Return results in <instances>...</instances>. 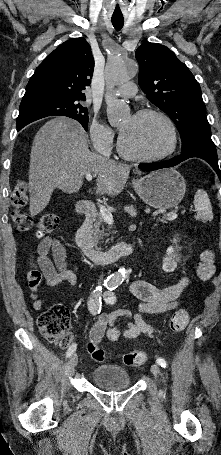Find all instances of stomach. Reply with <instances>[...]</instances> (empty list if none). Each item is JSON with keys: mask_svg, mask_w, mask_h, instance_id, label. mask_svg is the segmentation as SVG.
<instances>
[{"mask_svg": "<svg viewBox=\"0 0 221 455\" xmlns=\"http://www.w3.org/2000/svg\"><path fill=\"white\" fill-rule=\"evenodd\" d=\"M139 197L149 206L159 210L176 207L183 199L186 183L175 169H161L133 181Z\"/></svg>", "mask_w": 221, "mask_h": 455, "instance_id": "1", "label": "stomach"}]
</instances>
